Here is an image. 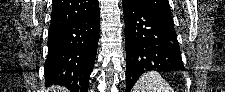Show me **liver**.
I'll return each instance as SVG.
<instances>
[{"label": "liver", "instance_id": "obj_1", "mask_svg": "<svg viewBox=\"0 0 225 92\" xmlns=\"http://www.w3.org/2000/svg\"><path fill=\"white\" fill-rule=\"evenodd\" d=\"M61 90H64V89L58 86L50 88L51 92H61Z\"/></svg>", "mask_w": 225, "mask_h": 92}]
</instances>
